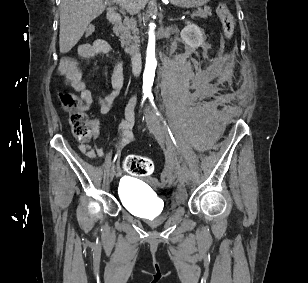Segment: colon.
Instances as JSON below:
<instances>
[{"label":"colon","instance_id":"obj_1","mask_svg":"<svg viewBox=\"0 0 308 283\" xmlns=\"http://www.w3.org/2000/svg\"><path fill=\"white\" fill-rule=\"evenodd\" d=\"M217 15L221 23L223 33L227 39H231L234 33V19L225 3L217 6ZM95 27L89 25L86 35L94 33ZM63 109L69 114V123L73 136L80 141H87L92 136V125L84 111V106L77 95L70 92H62L59 95ZM123 168L126 172L135 176H148L154 171L153 161L144 156L129 155L123 161Z\"/></svg>","mask_w":308,"mask_h":283}]
</instances>
